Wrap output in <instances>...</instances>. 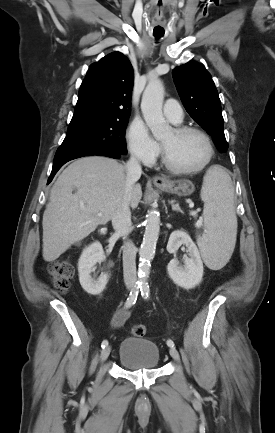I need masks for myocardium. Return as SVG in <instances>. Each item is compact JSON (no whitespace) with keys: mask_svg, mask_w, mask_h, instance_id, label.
<instances>
[{"mask_svg":"<svg viewBox=\"0 0 275 433\" xmlns=\"http://www.w3.org/2000/svg\"><path fill=\"white\" fill-rule=\"evenodd\" d=\"M174 133H176L177 135H183V134H187V133H196L199 134L206 142L207 147H208V154L207 157L205 159V161L200 164L197 167L194 168H180L175 166L167 152L165 147L163 146V144H161V148H162V161L164 166L171 172L175 173V174H182V175H190V174H196L201 172L202 170H204L212 161L214 154H215V149H214V144L213 141L211 139V137L208 135V133H206L203 129L196 127V126H187V125H177L175 127L172 128Z\"/></svg>","mask_w":275,"mask_h":433,"instance_id":"1","label":"myocardium"}]
</instances>
